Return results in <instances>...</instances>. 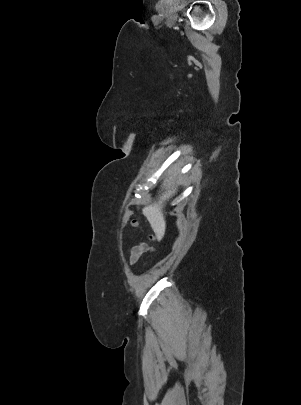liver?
I'll list each match as a JSON object with an SVG mask.
<instances>
[{"instance_id":"1","label":"liver","mask_w":301,"mask_h":405,"mask_svg":"<svg viewBox=\"0 0 301 405\" xmlns=\"http://www.w3.org/2000/svg\"><path fill=\"white\" fill-rule=\"evenodd\" d=\"M172 184L173 178L169 175L164 179L162 184V188H165L166 190L159 195L158 201L145 206L143 209V214L149 221L158 240L163 238L166 229V222L163 214L164 204L177 192V188L170 187Z\"/></svg>"}]
</instances>
